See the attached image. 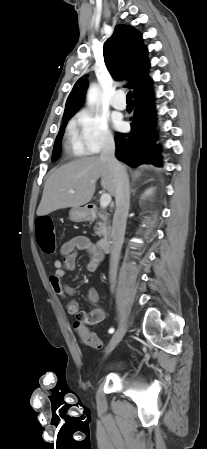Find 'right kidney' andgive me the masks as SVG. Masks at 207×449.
<instances>
[{
	"label": "right kidney",
	"mask_w": 207,
	"mask_h": 449,
	"mask_svg": "<svg viewBox=\"0 0 207 449\" xmlns=\"http://www.w3.org/2000/svg\"><path fill=\"white\" fill-rule=\"evenodd\" d=\"M152 192H153V188H151V189L147 190V191H146V192L144 193V195H143V197H142V198H144V197H146V196H148V195L152 194Z\"/></svg>",
	"instance_id": "obj_1"
}]
</instances>
